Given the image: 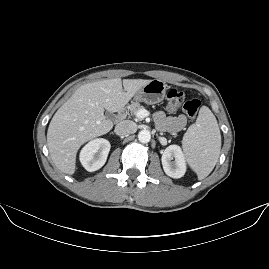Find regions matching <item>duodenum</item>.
I'll return each mask as SVG.
<instances>
[{"label": "duodenum", "mask_w": 269, "mask_h": 269, "mask_svg": "<svg viewBox=\"0 0 269 269\" xmlns=\"http://www.w3.org/2000/svg\"><path fill=\"white\" fill-rule=\"evenodd\" d=\"M125 114H126V111L124 108L120 109L118 112H117V120L120 121L122 120L124 117H125Z\"/></svg>", "instance_id": "obj_1"}]
</instances>
